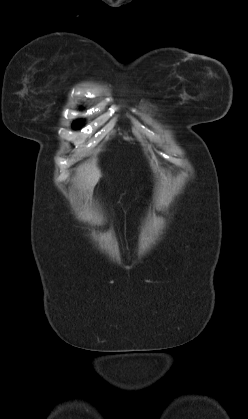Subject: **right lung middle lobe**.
Instances as JSON below:
<instances>
[{
    "mask_svg": "<svg viewBox=\"0 0 248 419\" xmlns=\"http://www.w3.org/2000/svg\"><path fill=\"white\" fill-rule=\"evenodd\" d=\"M74 126H75V128H78L80 126V124L77 123V124H74Z\"/></svg>",
    "mask_w": 248,
    "mask_h": 419,
    "instance_id": "1",
    "label": "right lung middle lobe"
}]
</instances>
